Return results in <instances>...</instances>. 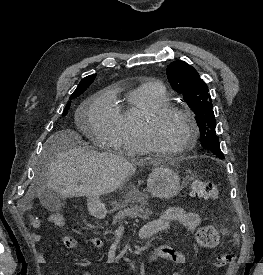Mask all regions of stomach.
Here are the masks:
<instances>
[{
    "instance_id": "0dacf381",
    "label": "stomach",
    "mask_w": 263,
    "mask_h": 275,
    "mask_svg": "<svg viewBox=\"0 0 263 275\" xmlns=\"http://www.w3.org/2000/svg\"><path fill=\"white\" fill-rule=\"evenodd\" d=\"M147 187L152 196L166 199L175 196L182 189L179 174L167 166L153 169L148 176ZM118 208L119 205L115 207ZM88 210L97 218L104 217L106 213L104 204L98 199L88 202Z\"/></svg>"
}]
</instances>
